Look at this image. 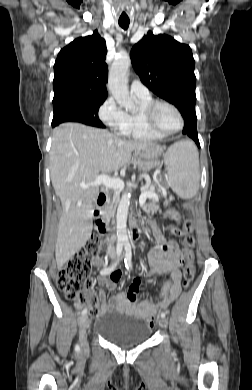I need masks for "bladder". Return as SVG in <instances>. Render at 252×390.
<instances>
[{"label": "bladder", "instance_id": "obj_1", "mask_svg": "<svg viewBox=\"0 0 252 390\" xmlns=\"http://www.w3.org/2000/svg\"><path fill=\"white\" fill-rule=\"evenodd\" d=\"M93 331L122 348L142 345L151 335V327L146 321L128 315L106 314L96 321Z\"/></svg>", "mask_w": 252, "mask_h": 390}]
</instances>
